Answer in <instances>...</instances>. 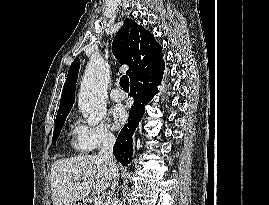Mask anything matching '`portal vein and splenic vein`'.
<instances>
[{"mask_svg":"<svg viewBox=\"0 0 269 205\" xmlns=\"http://www.w3.org/2000/svg\"><path fill=\"white\" fill-rule=\"evenodd\" d=\"M93 201H94V205H102L103 204V198L100 195L95 196Z\"/></svg>","mask_w":269,"mask_h":205,"instance_id":"portal-vein-and-splenic-vein-1","label":"portal vein and splenic vein"}]
</instances>
